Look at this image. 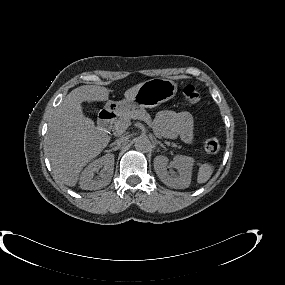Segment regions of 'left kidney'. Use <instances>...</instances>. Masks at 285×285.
Listing matches in <instances>:
<instances>
[{
	"label": "left kidney",
	"instance_id": "obj_1",
	"mask_svg": "<svg viewBox=\"0 0 285 285\" xmlns=\"http://www.w3.org/2000/svg\"><path fill=\"white\" fill-rule=\"evenodd\" d=\"M168 158L157 156L154 159V169L159 179L168 187L174 189L188 188L191 182L194 159L188 156L177 155L173 158V166L179 172V176L173 177L167 171Z\"/></svg>",
	"mask_w": 285,
	"mask_h": 285
}]
</instances>
